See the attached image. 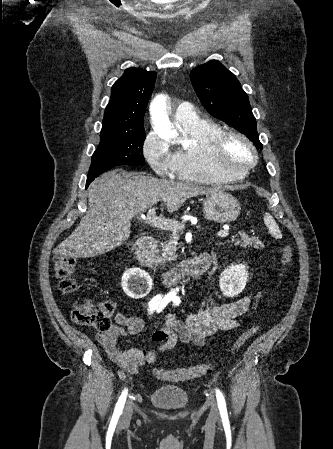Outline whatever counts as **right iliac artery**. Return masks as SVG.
<instances>
[{"label":"right iliac artery","instance_id":"right-iliac-artery-1","mask_svg":"<svg viewBox=\"0 0 333 449\" xmlns=\"http://www.w3.org/2000/svg\"><path fill=\"white\" fill-rule=\"evenodd\" d=\"M170 297L165 296L162 299V296L157 295L154 298H152L148 304L149 306V312L153 313L156 309L158 312L162 311L164 307L170 302ZM127 397V389H125L122 394L119 397L118 402L116 403L114 413L111 419V425H116L119 416L122 414V410L126 401Z\"/></svg>","mask_w":333,"mask_h":449}]
</instances>
